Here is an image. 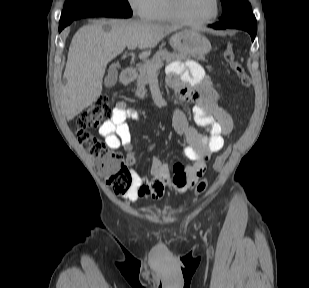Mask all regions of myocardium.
I'll return each mask as SVG.
<instances>
[{
	"label": "myocardium",
	"mask_w": 309,
	"mask_h": 288,
	"mask_svg": "<svg viewBox=\"0 0 309 288\" xmlns=\"http://www.w3.org/2000/svg\"><path fill=\"white\" fill-rule=\"evenodd\" d=\"M214 4V12L210 17L200 21H192L183 16L180 9V0H169L170 9L175 20L190 27H202L214 22L220 13V1L214 0Z\"/></svg>",
	"instance_id": "f54148a6"
}]
</instances>
